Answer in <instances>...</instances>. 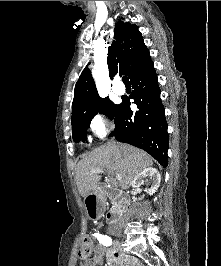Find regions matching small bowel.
I'll list each match as a JSON object with an SVG mask.
<instances>
[{"label":"small bowel","instance_id":"1","mask_svg":"<svg viewBox=\"0 0 221 266\" xmlns=\"http://www.w3.org/2000/svg\"><path fill=\"white\" fill-rule=\"evenodd\" d=\"M99 232H94L97 236ZM97 256L93 261H83L81 266H100L104 256L107 258L109 266H143L140 262L127 258L114 249H105L101 244L96 245Z\"/></svg>","mask_w":221,"mask_h":266}]
</instances>
